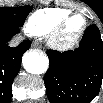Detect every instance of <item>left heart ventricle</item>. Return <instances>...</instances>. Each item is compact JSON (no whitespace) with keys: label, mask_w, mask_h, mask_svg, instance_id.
<instances>
[{"label":"left heart ventricle","mask_w":103,"mask_h":103,"mask_svg":"<svg viewBox=\"0 0 103 103\" xmlns=\"http://www.w3.org/2000/svg\"><path fill=\"white\" fill-rule=\"evenodd\" d=\"M83 25V18L81 16L74 17L67 25L65 29V36L71 37L75 35Z\"/></svg>","instance_id":"b2bd125f"}]
</instances>
